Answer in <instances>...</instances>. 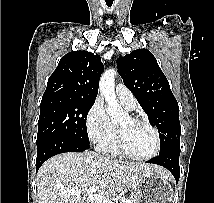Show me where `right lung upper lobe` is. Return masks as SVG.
Wrapping results in <instances>:
<instances>
[{"label":"right lung upper lobe","mask_w":214,"mask_h":203,"mask_svg":"<svg viewBox=\"0 0 214 203\" xmlns=\"http://www.w3.org/2000/svg\"><path fill=\"white\" fill-rule=\"evenodd\" d=\"M104 69L99 55L73 51L60 59L49 77L42 99L70 98L95 101Z\"/></svg>","instance_id":"cb5924a9"}]
</instances>
